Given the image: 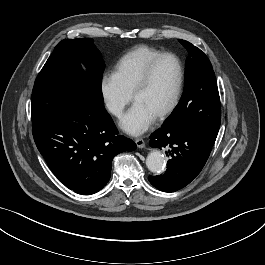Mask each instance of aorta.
I'll return each instance as SVG.
<instances>
[{
    "label": "aorta",
    "instance_id": "aorta-1",
    "mask_svg": "<svg viewBox=\"0 0 265 265\" xmlns=\"http://www.w3.org/2000/svg\"><path fill=\"white\" fill-rule=\"evenodd\" d=\"M164 155L159 150L151 151L146 159V166L153 173H161L165 168Z\"/></svg>",
    "mask_w": 265,
    "mask_h": 265
}]
</instances>
